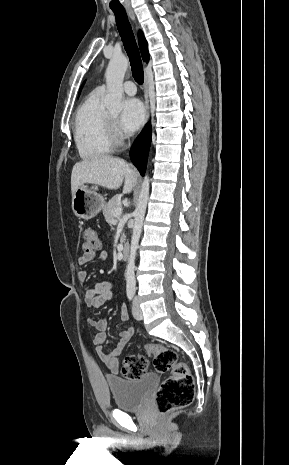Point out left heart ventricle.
I'll return each instance as SVG.
<instances>
[{
    "label": "left heart ventricle",
    "mask_w": 289,
    "mask_h": 465,
    "mask_svg": "<svg viewBox=\"0 0 289 465\" xmlns=\"http://www.w3.org/2000/svg\"><path fill=\"white\" fill-rule=\"evenodd\" d=\"M111 116H112L113 118H115L116 115H115V114H112Z\"/></svg>",
    "instance_id": "1"
}]
</instances>
